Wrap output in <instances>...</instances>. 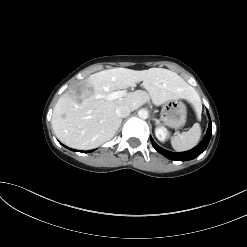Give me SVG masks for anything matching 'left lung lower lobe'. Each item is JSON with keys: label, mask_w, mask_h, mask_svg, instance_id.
I'll list each match as a JSON object with an SVG mask.
<instances>
[{"label": "left lung lower lobe", "mask_w": 247, "mask_h": 247, "mask_svg": "<svg viewBox=\"0 0 247 247\" xmlns=\"http://www.w3.org/2000/svg\"><path fill=\"white\" fill-rule=\"evenodd\" d=\"M209 115V113H208ZM210 118V116H209ZM211 134H212V123L211 120L209 121V126H208V130L207 133L204 137V139L202 140V142L196 146L195 148L186 151V152H180V153H174V152H170L167 150H164L163 148L159 147L154 140L151 138V142L153 147L162 155H164L165 157L171 159V160H175V161H188V160H192L194 158H196L197 156H199L208 146V143L210 141L211 138Z\"/></svg>", "instance_id": "left-lung-lower-lobe-1"}]
</instances>
